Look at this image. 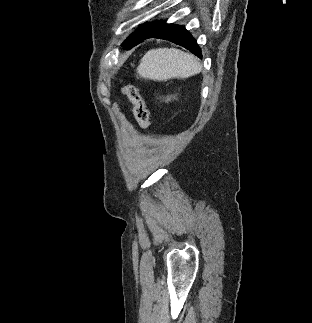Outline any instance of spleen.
I'll return each instance as SVG.
<instances>
[{
	"mask_svg": "<svg viewBox=\"0 0 312 323\" xmlns=\"http://www.w3.org/2000/svg\"><path fill=\"white\" fill-rule=\"evenodd\" d=\"M144 80H170V78H190L202 70L198 58L176 48L149 50L137 68Z\"/></svg>",
	"mask_w": 312,
	"mask_h": 323,
	"instance_id": "3e777b00",
	"label": "spleen"
}]
</instances>
